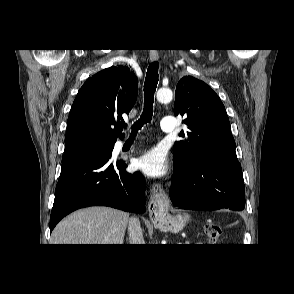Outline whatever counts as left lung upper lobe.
Returning <instances> with one entry per match:
<instances>
[{
	"mask_svg": "<svg viewBox=\"0 0 294 294\" xmlns=\"http://www.w3.org/2000/svg\"><path fill=\"white\" fill-rule=\"evenodd\" d=\"M174 114L185 117L187 138L174 145V159L195 165L211 159L238 161L229 119L219 96L192 76L180 79L175 92Z\"/></svg>",
	"mask_w": 294,
	"mask_h": 294,
	"instance_id": "obj_1",
	"label": "left lung upper lobe"
}]
</instances>
